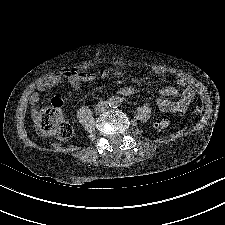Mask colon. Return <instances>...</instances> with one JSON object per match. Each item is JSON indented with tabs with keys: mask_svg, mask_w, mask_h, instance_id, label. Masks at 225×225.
I'll use <instances>...</instances> for the list:
<instances>
[{
	"mask_svg": "<svg viewBox=\"0 0 225 225\" xmlns=\"http://www.w3.org/2000/svg\"><path fill=\"white\" fill-rule=\"evenodd\" d=\"M68 74L65 72L63 75ZM36 126L42 135H53L61 140L69 139L73 133L71 125L65 120L60 99L53 100L50 106L36 116ZM167 126L166 120H161L156 124L158 129H165Z\"/></svg>",
	"mask_w": 225,
	"mask_h": 225,
	"instance_id": "1",
	"label": "colon"
}]
</instances>
